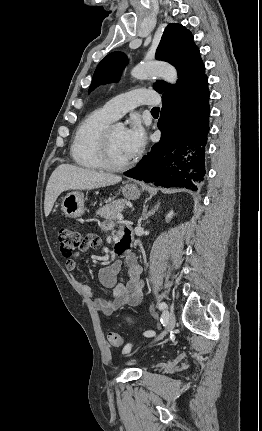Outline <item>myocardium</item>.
I'll return each mask as SVG.
<instances>
[{
    "instance_id": "1",
    "label": "myocardium",
    "mask_w": 262,
    "mask_h": 431,
    "mask_svg": "<svg viewBox=\"0 0 262 431\" xmlns=\"http://www.w3.org/2000/svg\"><path fill=\"white\" fill-rule=\"evenodd\" d=\"M112 128L113 127L108 126L103 132L102 140H101V159L106 169L112 170V171H122L130 168L134 164V161L130 160L123 163H117L113 160L112 153H111Z\"/></svg>"
}]
</instances>
